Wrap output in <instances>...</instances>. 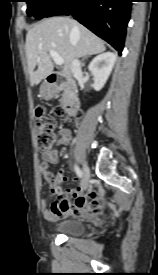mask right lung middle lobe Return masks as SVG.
Returning <instances> with one entry per match:
<instances>
[{
  "instance_id": "1",
  "label": "right lung middle lobe",
  "mask_w": 158,
  "mask_h": 275,
  "mask_svg": "<svg viewBox=\"0 0 158 275\" xmlns=\"http://www.w3.org/2000/svg\"><path fill=\"white\" fill-rule=\"evenodd\" d=\"M27 2L28 16H35L36 19H41L63 0H25Z\"/></svg>"
}]
</instances>
